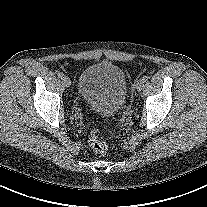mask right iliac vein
Returning <instances> with one entry per match:
<instances>
[{
	"label": "right iliac vein",
	"mask_w": 207,
	"mask_h": 207,
	"mask_svg": "<svg viewBox=\"0 0 207 207\" xmlns=\"http://www.w3.org/2000/svg\"><path fill=\"white\" fill-rule=\"evenodd\" d=\"M62 82H63L64 86H66V87H69V86L71 85V80H70V78L67 77V76H64V77L62 78Z\"/></svg>",
	"instance_id": "obj_1"
}]
</instances>
